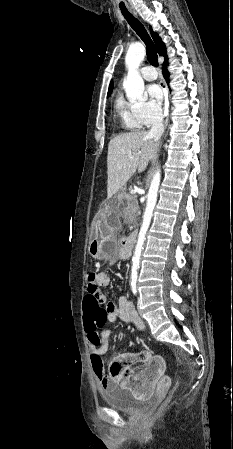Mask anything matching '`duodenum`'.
Masks as SVG:
<instances>
[{
	"mask_svg": "<svg viewBox=\"0 0 233 449\" xmlns=\"http://www.w3.org/2000/svg\"><path fill=\"white\" fill-rule=\"evenodd\" d=\"M135 237L136 233H133L131 236H128L123 241V250L126 254H131L135 245Z\"/></svg>",
	"mask_w": 233,
	"mask_h": 449,
	"instance_id": "obj_1",
	"label": "duodenum"
}]
</instances>
